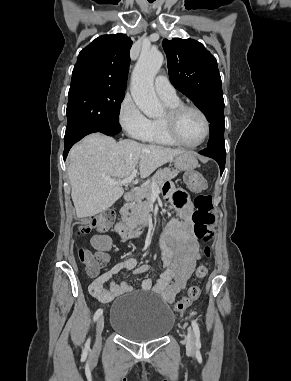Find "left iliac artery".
<instances>
[{"label": "left iliac artery", "instance_id": "44dca946", "mask_svg": "<svg viewBox=\"0 0 291 381\" xmlns=\"http://www.w3.org/2000/svg\"><path fill=\"white\" fill-rule=\"evenodd\" d=\"M192 327H193V331L195 333V337H196V347L199 348L201 347V342H200V330H199V326L197 324V322L195 320L192 321Z\"/></svg>", "mask_w": 291, "mask_h": 381}]
</instances>
